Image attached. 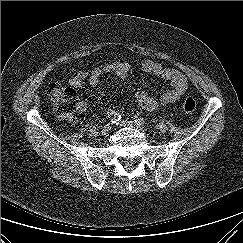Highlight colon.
Masks as SVG:
<instances>
[{
    "label": "colon",
    "instance_id": "colon-1",
    "mask_svg": "<svg viewBox=\"0 0 243 243\" xmlns=\"http://www.w3.org/2000/svg\"><path fill=\"white\" fill-rule=\"evenodd\" d=\"M49 94L52 100L53 111L59 118H68L76 108V100L70 89H65L57 84L49 86ZM181 108L191 114L196 108L195 99L190 95L183 96L181 100Z\"/></svg>",
    "mask_w": 243,
    "mask_h": 243
}]
</instances>
